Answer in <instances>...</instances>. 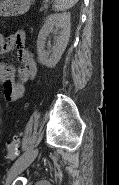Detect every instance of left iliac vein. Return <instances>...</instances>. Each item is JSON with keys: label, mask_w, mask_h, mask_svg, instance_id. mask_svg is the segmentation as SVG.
<instances>
[{"label": "left iliac vein", "mask_w": 119, "mask_h": 185, "mask_svg": "<svg viewBox=\"0 0 119 185\" xmlns=\"http://www.w3.org/2000/svg\"><path fill=\"white\" fill-rule=\"evenodd\" d=\"M38 149L32 150L17 165H15L8 173L5 185H10L12 181L22 173L37 157Z\"/></svg>", "instance_id": "left-iliac-vein-1"}]
</instances>
